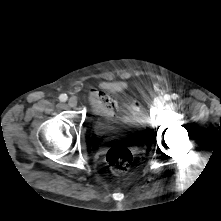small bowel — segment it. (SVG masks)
<instances>
[{
	"instance_id": "obj_1",
	"label": "small bowel",
	"mask_w": 221,
	"mask_h": 221,
	"mask_svg": "<svg viewBox=\"0 0 221 221\" xmlns=\"http://www.w3.org/2000/svg\"><path fill=\"white\" fill-rule=\"evenodd\" d=\"M103 97L108 98V101L105 102ZM91 104L93 107L94 113L101 117L106 116H123V111L119 110L116 102L110 95L105 92H100L98 90H92L90 93Z\"/></svg>"
}]
</instances>
